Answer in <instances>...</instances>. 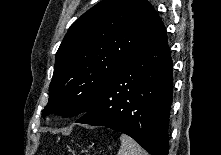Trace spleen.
Masks as SVG:
<instances>
[{"label":"spleen","instance_id":"3e777b00","mask_svg":"<svg viewBox=\"0 0 221 155\" xmlns=\"http://www.w3.org/2000/svg\"><path fill=\"white\" fill-rule=\"evenodd\" d=\"M121 147L117 155H148L137 142H135L131 137L122 134L120 136Z\"/></svg>","mask_w":221,"mask_h":155}]
</instances>
